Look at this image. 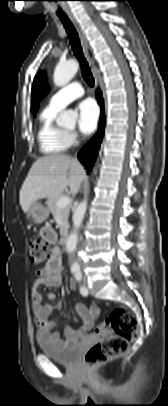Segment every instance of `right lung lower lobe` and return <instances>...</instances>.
I'll return each instance as SVG.
<instances>
[{"mask_svg":"<svg viewBox=\"0 0 168 406\" xmlns=\"http://www.w3.org/2000/svg\"><path fill=\"white\" fill-rule=\"evenodd\" d=\"M98 103L102 108L100 122H99V130L98 133L82 148V150L78 153L79 160L85 165L87 172H90L96 156L98 154V150L100 148V143L102 141V137L104 134V126H105V116H104V109H103V99L102 94L100 91L96 93Z\"/></svg>","mask_w":168,"mask_h":406,"instance_id":"1","label":"right lung lower lobe"}]
</instances>
